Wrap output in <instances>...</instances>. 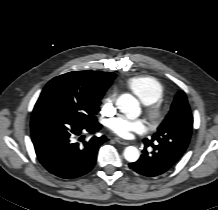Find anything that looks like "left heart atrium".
Masks as SVG:
<instances>
[{
    "mask_svg": "<svg viewBox=\"0 0 218 210\" xmlns=\"http://www.w3.org/2000/svg\"><path fill=\"white\" fill-rule=\"evenodd\" d=\"M110 128L118 136L130 138L134 133H144L147 130V123L143 119L120 117L111 121Z\"/></svg>",
    "mask_w": 218,
    "mask_h": 210,
    "instance_id": "39dd6f15",
    "label": "left heart atrium"
}]
</instances>
